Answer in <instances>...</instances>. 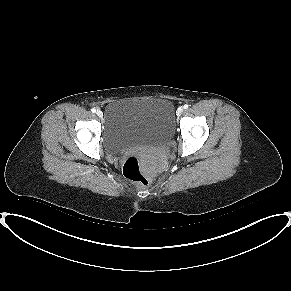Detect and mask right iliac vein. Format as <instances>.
I'll return each instance as SVG.
<instances>
[{"label":"right iliac vein","instance_id":"obj_1","mask_svg":"<svg viewBox=\"0 0 291 291\" xmlns=\"http://www.w3.org/2000/svg\"><path fill=\"white\" fill-rule=\"evenodd\" d=\"M96 114L100 118L103 116V112L101 110H97Z\"/></svg>","mask_w":291,"mask_h":291}]
</instances>
